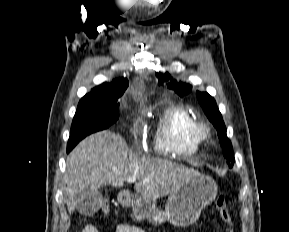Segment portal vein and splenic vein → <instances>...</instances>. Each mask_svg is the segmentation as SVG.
I'll return each mask as SVG.
<instances>
[{
	"instance_id": "obj_1",
	"label": "portal vein and splenic vein",
	"mask_w": 289,
	"mask_h": 232,
	"mask_svg": "<svg viewBox=\"0 0 289 232\" xmlns=\"http://www.w3.org/2000/svg\"><path fill=\"white\" fill-rule=\"evenodd\" d=\"M136 180H137L136 177H129L127 179V181L130 182V183L135 182ZM143 182H149V180H143Z\"/></svg>"
}]
</instances>
